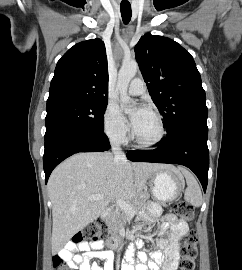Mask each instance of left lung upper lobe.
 I'll return each mask as SVG.
<instances>
[{
	"label": "left lung upper lobe",
	"instance_id": "obj_1",
	"mask_svg": "<svg viewBox=\"0 0 242 270\" xmlns=\"http://www.w3.org/2000/svg\"><path fill=\"white\" fill-rule=\"evenodd\" d=\"M135 57L167 134L187 122L207 120L205 91L188 51L169 38L148 33L135 46Z\"/></svg>",
	"mask_w": 242,
	"mask_h": 270
}]
</instances>
